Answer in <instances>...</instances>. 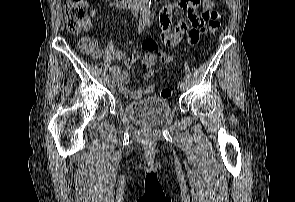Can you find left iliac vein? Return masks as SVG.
<instances>
[{"label":"left iliac vein","instance_id":"obj_1","mask_svg":"<svg viewBox=\"0 0 295 202\" xmlns=\"http://www.w3.org/2000/svg\"><path fill=\"white\" fill-rule=\"evenodd\" d=\"M179 88H180L182 91H185V90L187 89V82L182 81V82L179 84Z\"/></svg>","mask_w":295,"mask_h":202}]
</instances>
